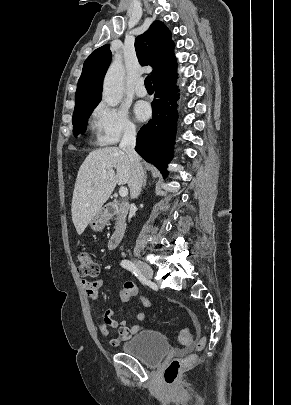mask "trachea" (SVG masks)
Here are the masks:
<instances>
[{
    "instance_id": "3493384b",
    "label": "trachea",
    "mask_w": 291,
    "mask_h": 405,
    "mask_svg": "<svg viewBox=\"0 0 291 405\" xmlns=\"http://www.w3.org/2000/svg\"><path fill=\"white\" fill-rule=\"evenodd\" d=\"M145 87H146L147 89H152V88H153V86H152V83H151V80H150V77H149V76H147V77L145 78Z\"/></svg>"
}]
</instances>
